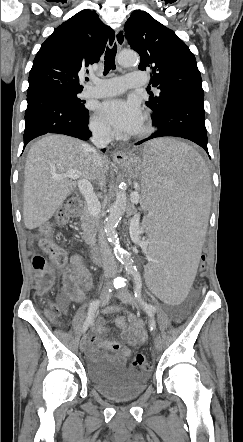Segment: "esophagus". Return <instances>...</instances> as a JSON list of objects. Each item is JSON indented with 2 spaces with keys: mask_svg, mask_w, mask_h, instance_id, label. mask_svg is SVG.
<instances>
[{
  "mask_svg": "<svg viewBox=\"0 0 243 442\" xmlns=\"http://www.w3.org/2000/svg\"><path fill=\"white\" fill-rule=\"evenodd\" d=\"M115 41H116L117 46L119 48H121L124 45V43H125V35H124L123 28H119V29L116 30ZM127 157H128V155L126 153H124V152H121V151H115L113 153V158L117 162H124L127 159Z\"/></svg>",
  "mask_w": 243,
  "mask_h": 442,
  "instance_id": "1",
  "label": "esophagus"
}]
</instances>
